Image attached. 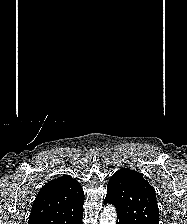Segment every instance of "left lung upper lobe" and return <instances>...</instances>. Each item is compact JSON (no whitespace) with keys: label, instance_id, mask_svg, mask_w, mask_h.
<instances>
[{"label":"left lung upper lobe","instance_id":"obj_1","mask_svg":"<svg viewBox=\"0 0 187 224\" xmlns=\"http://www.w3.org/2000/svg\"><path fill=\"white\" fill-rule=\"evenodd\" d=\"M104 202L115 206L117 218L124 224H159L155 190L137 171H116L108 182Z\"/></svg>","mask_w":187,"mask_h":224}]
</instances>
